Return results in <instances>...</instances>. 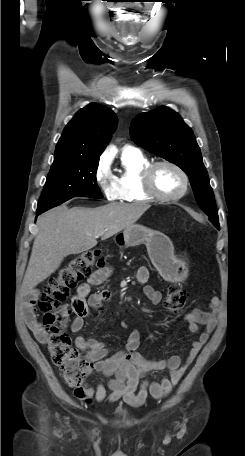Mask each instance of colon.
I'll use <instances>...</instances> for the list:
<instances>
[{
    "mask_svg": "<svg viewBox=\"0 0 245 456\" xmlns=\"http://www.w3.org/2000/svg\"><path fill=\"white\" fill-rule=\"evenodd\" d=\"M104 265L105 257L100 249H91L75 256L45 285L38 304L48 334L51 359L61 368L65 382L72 387L82 384L91 373L93 364L80 357L70 336L62 329L61 325L67 315L63 303L69 292L90 274L93 267L100 268ZM185 302V291L180 286H170L164 300L166 310L178 313Z\"/></svg>",
    "mask_w": 245,
    "mask_h": 456,
    "instance_id": "5ec220e1",
    "label": "colon"
}]
</instances>
